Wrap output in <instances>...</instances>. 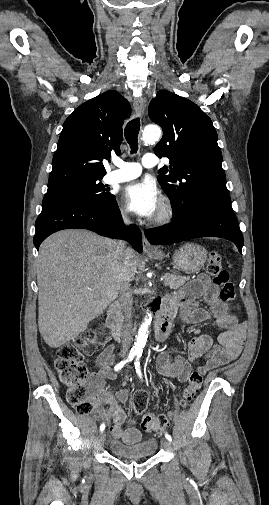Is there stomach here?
<instances>
[{"label":"stomach","instance_id":"1","mask_svg":"<svg viewBox=\"0 0 269 505\" xmlns=\"http://www.w3.org/2000/svg\"><path fill=\"white\" fill-rule=\"evenodd\" d=\"M149 257L153 260H162L165 255L159 251L155 254H150ZM206 260L207 250L195 243L184 244L173 255L175 266L188 274L199 271L204 266Z\"/></svg>","mask_w":269,"mask_h":505}]
</instances>
